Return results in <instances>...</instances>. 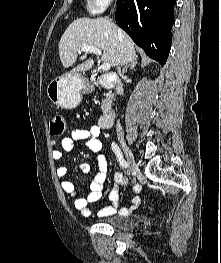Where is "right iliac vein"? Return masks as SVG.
Instances as JSON below:
<instances>
[{
	"mask_svg": "<svg viewBox=\"0 0 221 263\" xmlns=\"http://www.w3.org/2000/svg\"><path fill=\"white\" fill-rule=\"evenodd\" d=\"M120 144L125 152V156L129 165V171L131 173L135 172L137 170V165L134 159V156L131 152V150L129 149V147L127 146L125 139L123 137L119 138Z\"/></svg>",
	"mask_w": 221,
	"mask_h": 263,
	"instance_id": "obj_1",
	"label": "right iliac vein"
}]
</instances>
